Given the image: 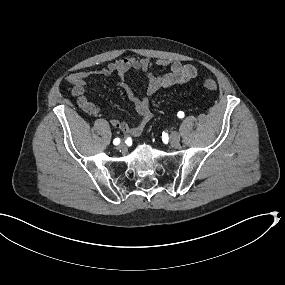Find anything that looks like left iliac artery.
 I'll use <instances>...</instances> for the list:
<instances>
[{
	"label": "left iliac artery",
	"instance_id": "1",
	"mask_svg": "<svg viewBox=\"0 0 285 285\" xmlns=\"http://www.w3.org/2000/svg\"><path fill=\"white\" fill-rule=\"evenodd\" d=\"M177 116H178L179 118H183V117H184V112L179 111L178 114H177Z\"/></svg>",
	"mask_w": 285,
	"mask_h": 285
}]
</instances>
